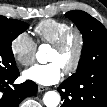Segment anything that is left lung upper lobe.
<instances>
[{
  "label": "left lung upper lobe",
  "mask_w": 107,
  "mask_h": 107,
  "mask_svg": "<svg viewBox=\"0 0 107 107\" xmlns=\"http://www.w3.org/2000/svg\"><path fill=\"white\" fill-rule=\"evenodd\" d=\"M65 15L77 25L84 41L77 72L66 80L77 87L74 96L66 97L67 107H83L86 90L81 87L82 82L95 76L107 77V30L84 11H69Z\"/></svg>",
  "instance_id": "obj_1"
}]
</instances>
